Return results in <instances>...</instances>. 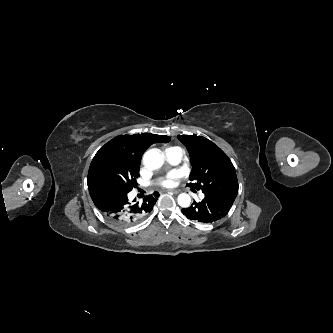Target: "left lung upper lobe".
Wrapping results in <instances>:
<instances>
[{"label":"left lung upper lobe","instance_id":"1","mask_svg":"<svg viewBox=\"0 0 333 333\" xmlns=\"http://www.w3.org/2000/svg\"><path fill=\"white\" fill-rule=\"evenodd\" d=\"M188 149L192 170L187 186L235 199L238 181L235 168L228 156L213 142L202 136L178 135Z\"/></svg>","mask_w":333,"mask_h":333}]
</instances>
